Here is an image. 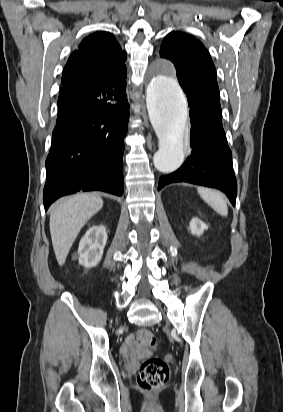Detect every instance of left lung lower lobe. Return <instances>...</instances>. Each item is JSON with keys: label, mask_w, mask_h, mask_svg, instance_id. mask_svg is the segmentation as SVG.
<instances>
[{"label": "left lung lower lobe", "mask_w": 283, "mask_h": 412, "mask_svg": "<svg viewBox=\"0 0 283 412\" xmlns=\"http://www.w3.org/2000/svg\"><path fill=\"white\" fill-rule=\"evenodd\" d=\"M190 107L191 154L175 172L161 176L158 190L165 185L187 182L223 191L235 205L237 182L232 153L222 126V113L188 97Z\"/></svg>", "instance_id": "0a47b994"}]
</instances>
